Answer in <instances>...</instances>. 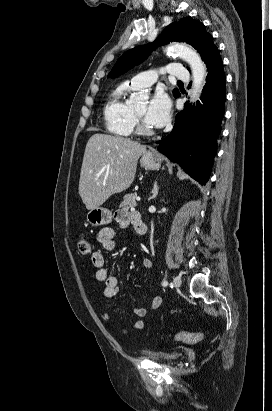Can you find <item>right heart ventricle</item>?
Here are the masks:
<instances>
[{
    "label": "right heart ventricle",
    "instance_id": "1",
    "mask_svg": "<svg viewBox=\"0 0 272 411\" xmlns=\"http://www.w3.org/2000/svg\"><path fill=\"white\" fill-rule=\"evenodd\" d=\"M133 90L135 89L128 82H124L111 92L105 103V123L107 130L113 135L129 137L133 133L132 107L125 98Z\"/></svg>",
    "mask_w": 272,
    "mask_h": 411
}]
</instances>
